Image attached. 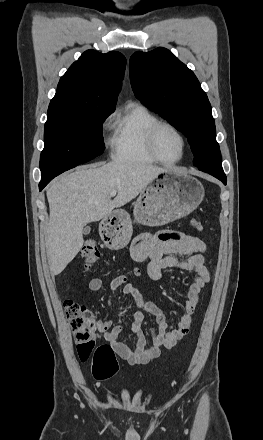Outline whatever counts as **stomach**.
<instances>
[{
    "instance_id": "obj_1",
    "label": "stomach",
    "mask_w": 263,
    "mask_h": 440,
    "mask_svg": "<svg viewBox=\"0 0 263 440\" xmlns=\"http://www.w3.org/2000/svg\"><path fill=\"white\" fill-rule=\"evenodd\" d=\"M204 187L196 178L175 170L159 174L134 202L135 221L160 226L187 216L204 198ZM100 235L109 249L119 250L130 241L133 227L129 214L115 210L103 219Z\"/></svg>"
}]
</instances>
